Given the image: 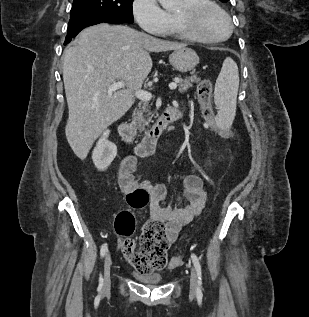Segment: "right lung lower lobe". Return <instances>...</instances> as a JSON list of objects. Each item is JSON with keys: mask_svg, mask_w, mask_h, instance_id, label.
<instances>
[{"mask_svg": "<svg viewBox=\"0 0 309 317\" xmlns=\"http://www.w3.org/2000/svg\"><path fill=\"white\" fill-rule=\"evenodd\" d=\"M102 22L112 24L124 23L118 19L100 15H85L71 18L69 21L64 45L68 44L71 41V38L75 37L82 29Z\"/></svg>", "mask_w": 309, "mask_h": 317, "instance_id": "right-lung-lower-lobe-1", "label": "right lung lower lobe"}]
</instances>
